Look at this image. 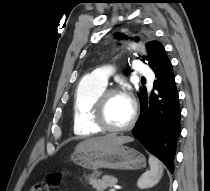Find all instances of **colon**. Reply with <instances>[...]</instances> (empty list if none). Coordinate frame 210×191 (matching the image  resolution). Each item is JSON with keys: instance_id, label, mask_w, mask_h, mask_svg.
Segmentation results:
<instances>
[{"instance_id": "obj_1", "label": "colon", "mask_w": 210, "mask_h": 191, "mask_svg": "<svg viewBox=\"0 0 210 191\" xmlns=\"http://www.w3.org/2000/svg\"><path fill=\"white\" fill-rule=\"evenodd\" d=\"M65 176L64 172H50L41 182L33 185L29 191H53L63 183Z\"/></svg>"}]
</instances>
